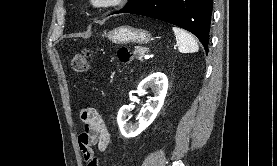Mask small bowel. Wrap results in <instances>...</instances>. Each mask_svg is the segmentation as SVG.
Returning <instances> with one entry per match:
<instances>
[{"label":"small bowel","mask_w":277,"mask_h":166,"mask_svg":"<svg viewBox=\"0 0 277 166\" xmlns=\"http://www.w3.org/2000/svg\"><path fill=\"white\" fill-rule=\"evenodd\" d=\"M84 130L80 134L78 143L82 158L87 166H98L99 160L93 150L97 145L100 151H105L110 143V134L101 115L93 108L81 112Z\"/></svg>","instance_id":"c3829d8e"}]
</instances>
